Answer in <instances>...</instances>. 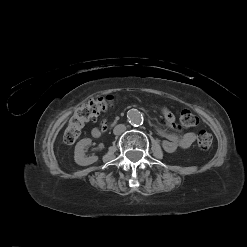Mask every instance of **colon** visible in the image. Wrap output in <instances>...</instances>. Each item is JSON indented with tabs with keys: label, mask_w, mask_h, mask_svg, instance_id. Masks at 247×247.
I'll return each instance as SVG.
<instances>
[{
	"label": "colon",
	"mask_w": 247,
	"mask_h": 247,
	"mask_svg": "<svg viewBox=\"0 0 247 247\" xmlns=\"http://www.w3.org/2000/svg\"><path fill=\"white\" fill-rule=\"evenodd\" d=\"M114 105L113 96H105L91 99L76 109L64 131L63 139L67 144H73L80 137L84 125L97 118L99 114L108 110ZM180 125L186 128L194 127L198 124V118L187 109L180 112ZM213 137L206 131H200L197 136V144L203 150L211 148Z\"/></svg>",
	"instance_id": "5ec220e1"
}]
</instances>
